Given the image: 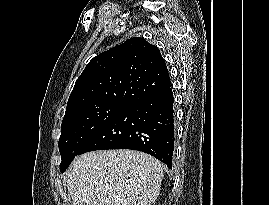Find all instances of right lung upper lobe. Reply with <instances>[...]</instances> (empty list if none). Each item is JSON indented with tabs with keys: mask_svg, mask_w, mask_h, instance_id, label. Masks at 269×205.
<instances>
[{
	"mask_svg": "<svg viewBox=\"0 0 269 205\" xmlns=\"http://www.w3.org/2000/svg\"><path fill=\"white\" fill-rule=\"evenodd\" d=\"M158 48L133 37L94 57L77 79L65 115L98 103L131 105L170 88Z\"/></svg>",
	"mask_w": 269,
	"mask_h": 205,
	"instance_id": "cb5924a9",
	"label": "right lung upper lobe"
}]
</instances>
